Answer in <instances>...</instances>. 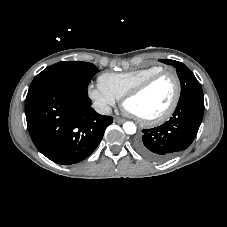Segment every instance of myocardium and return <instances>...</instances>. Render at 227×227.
<instances>
[{"instance_id": "myocardium-1", "label": "myocardium", "mask_w": 227, "mask_h": 227, "mask_svg": "<svg viewBox=\"0 0 227 227\" xmlns=\"http://www.w3.org/2000/svg\"><path fill=\"white\" fill-rule=\"evenodd\" d=\"M164 75H170L174 80L175 83L174 97L168 108L163 113L154 118L145 119L133 114L134 117L144 125L153 126L161 124L168 120L175 112L181 98V81L178 74L173 70L163 69L144 79L142 82L128 90L122 97V105L125 108V104L129 99L144 92L152 83H154L157 79L161 78Z\"/></svg>"}]
</instances>
